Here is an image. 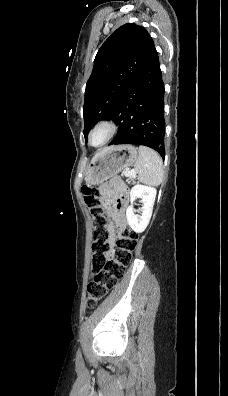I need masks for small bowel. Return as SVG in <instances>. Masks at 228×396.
Listing matches in <instances>:
<instances>
[{
    "label": "small bowel",
    "mask_w": 228,
    "mask_h": 396,
    "mask_svg": "<svg viewBox=\"0 0 228 396\" xmlns=\"http://www.w3.org/2000/svg\"><path fill=\"white\" fill-rule=\"evenodd\" d=\"M101 194L105 205L109 208H112L111 215L113 218V223L109 226L110 231L114 233L116 229L124 230L126 227V222L124 218L123 193L120 192L119 195L114 197V184H104L101 186Z\"/></svg>",
    "instance_id": "obj_1"
}]
</instances>
